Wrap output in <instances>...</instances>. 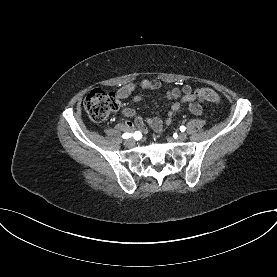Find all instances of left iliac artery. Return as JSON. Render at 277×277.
<instances>
[{
    "instance_id": "left-iliac-artery-1",
    "label": "left iliac artery",
    "mask_w": 277,
    "mask_h": 277,
    "mask_svg": "<svg viewBox=\"0 0 277 277\" xmlns=\"http://www.w3.org/2000/svg\"><path fill=\"white\" fill-rule=\"evenodd\" d=\"M185 126H180V130L182 131V132H184L185 131Z\"/></svg>"
}]
</instances>
